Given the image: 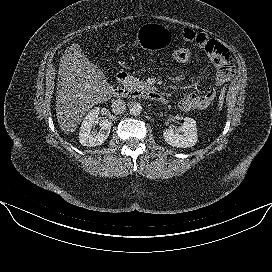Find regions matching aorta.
<instances>
[{
	"label": "aorta",
	"instance_id": "1",
	"mask_svg": "<svg viewBox=\"0 0 272 272\" xmlns=\"http://www.w3.org/2000/svg\"><path fill=\"white\" fill-rule=\"evenodd\" d=\"M130 114L138 116L142 112V106L139 102H132L129 107Z\"/></svg>",
	"mask_w": 272,
	"mask_h": 272
}]
</instances>
